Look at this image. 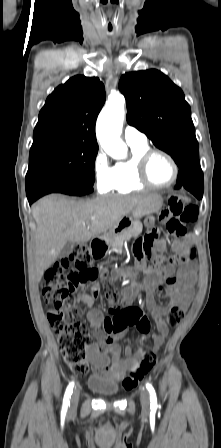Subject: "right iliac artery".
<instances>
[{
    "label": "right iliac artery",
    "instance_id": "82829eb1",
    "mask_svg": "<svg viewBox=\"0 0 221 448\" xmlns=\"http://www.w3.org/2000/svg\"><path fill=\"white\" fill-rule=\"evenodd\" d=\"M73 387H74V382H71L66 391H65V395H64V399H63V405H62V412L66 413L68 406L70 405V398H71V394L73 392Z\"/></svg>",
    "mask_w": 221,
    "mask_h": 448
}]
</instances>
